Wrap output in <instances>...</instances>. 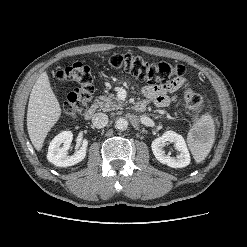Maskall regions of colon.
<instances>
[{
  "instance_id": "colon-1",
  "label": "colon",
  "mask_w": 247,
  "mask_h": 247,
  "mask_svg": "<svg viewBox=\"0 0 247 247\" xmlns=\"http://www.w3.org/2000/svg\"><path fill=\"white\" fill-rule=\"evenodd\" d=\"M109 64L118 72L132 74L150 83L168 82L171 78L180 77L185 73V67L182 64L148 62L140 56L131 54L115 55L109 59ZM56 76L60 80L70 81L77 85V88L68 94L63 103L64 112L72 117L83 113L94 93L90 67L83 62H75L60 69ZM183 89L187 107L196 113L203 112L206 105L202 96L194 92L188 82L184 84Z\"/></svg>"
}]
</instances>
